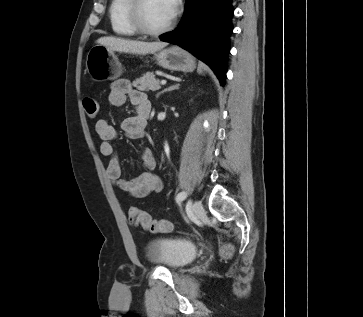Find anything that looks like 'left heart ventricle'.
<instances>
[{
	"instance_id": "1",
	"label": "left heart ventricle",
	"mask_w": 363,
	"mask_h": 317,
	"mask_svg": "<svg viewBox=\"0 0 363 317\" xmlns=\"http://www.w3.org/2000/svg\"><path fill=\"white\" fill-rule=\"evenodd\" d=\"M172 12L167 0H144L141 17L146 27L159 29L171 18Z\"/></svg>"
}]
</instances>
